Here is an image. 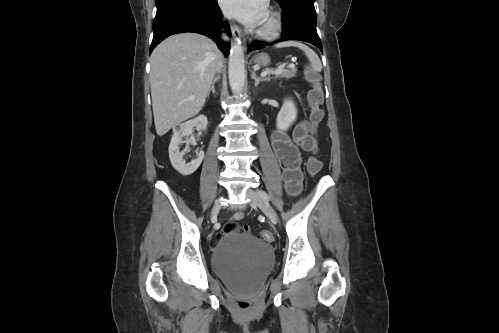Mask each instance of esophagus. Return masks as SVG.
I'll return each mask as SVG.
<instances>
[{
    "label": "esophagus",
    "instance_id": "34e87169",
    "mask_svg": "<svg viewBox=\"0 0 499 333\" xmlns=\"http://www.w3.org/2000/svg\"><path fill=\"white\" fill-rule=\"evenodd\" d=\"M231 30H232V35L234 38H236V39L243 38L242 31L240 30V28L236 24H234V23L231 24Z\"/></svg>",
    "mask_w": 499,
    "mask_h": 333
}]
</instances>
